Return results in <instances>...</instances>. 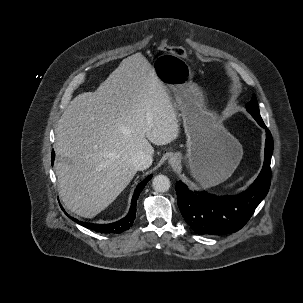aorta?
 Wrapping results in <instances>:
<instances>
[{
	"mask_svg": "<svg viewBox=\"0 0 303 303\" xmlns=\"http://www.w3.org/2000/svg\"><path fill=\"white\" fill-rule=\"evenodd\" d=\"M152 186L156 192L163 193L169 190L170 180L165 175H157L152 181Z\"/></svg>",
	"mask_w": 303,
	"mask_h": 303,
	"instance_id": "1",
	"label": "aorta"
}]
</instances>
